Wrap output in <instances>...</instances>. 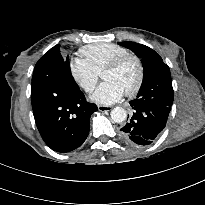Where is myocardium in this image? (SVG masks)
<instances>
[{
  "instance_id": "myocardium-1",
  "label": "myocardium",
  "mask_w": 205,
  "mask_h": 205,
  "mask_svg": "<svg viewBox=\"0 0 205 205\" xmlns=\"http://www.w3.org/2000/svg\"><path fill=\"white\" fill-rule=\"evenodd\" d=\"M128 61H133L137 67V77L135 83L131 88L125 91L127 96H133L137 94L141 89L145 77V67L140 57L131 53L119 56L116 59L112 60L110 63H108L103 68L102 73L105 71L117 70Z\"/></svg>"
}]
</instances>
